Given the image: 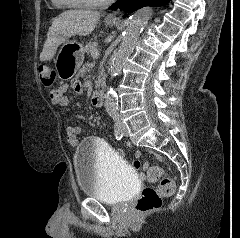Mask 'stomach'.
<instances>
[{"label": "stomach", "instance_id": "0dacf381", "mask_svg": "<svg viewBox=\"0 0 240 238\" xmlns=\"http://www.w3.org/2000/svg\"><path fill=\"white\" fill-rule=\"evenodd\" d=\"M108 25H115V23H108ZM83 59L82 44L76 40H66L54 60L56 74L63 80L70 79L82 65Z\"/></svg>", "mask_w": 240, "mask_h": 238}]
</instances>
